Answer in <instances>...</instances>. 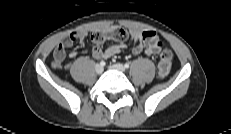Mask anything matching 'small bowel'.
Wrapping results in <instances>:
<instances>
[{"instance_id":"c3829d8e","label":"small bowel","mask_w":231,"mask_h":134,"mask_svg":"<svg viewBox=\"0 0 231 134\" xmlns=\"http://www.w3.org/2000/svg\"><path fill=\"white\" fill-rule=\"evenodd\" d=\"M114 27L108 28L103 33L106 38L109 37L110 32ZM129 35L132 39L133 45L131 47V53L135 56L144 52L148 57L154 56L161 51L163 43L159 39L158 35L151 30H139L132 28L129 30ZM89 36V33L85 30L75 31L66 36L55 48L53 57L55 62L63 63L66 58V49L71 47L76 41H85ZM127 48L125 44H113L105 47H101L98 44H94L92 48V56L95 59H107L114 55L122 53ZM77 56L76 51H71L69 57L75 58Z\"/></svg>"}]
</instances>
